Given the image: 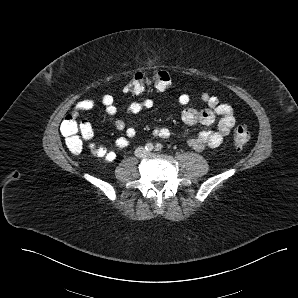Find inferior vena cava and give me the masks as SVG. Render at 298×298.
I'll return each mask as SVG.
<instances>
[{
  "label": "inferior vena cava",
  "instance_id": "1",
  "mask_svg": "<svg viewBox=\"0 0 298 298\" xmlns=\"http://www.w3.org/2000/svg\"><path fill=\"white\" fill-rule=\"evenodd\" d=\"M147 153H148V151H146L144 147H138L135 150L136 157H140V158L145 157L147 155Z\"/></svg>",
  "mask_w": 298,
  "mask_h": 298
}]
</instances>
